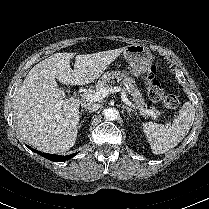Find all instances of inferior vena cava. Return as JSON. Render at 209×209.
I'll list each match as a JSON object with an SVG mask.
<instances>
[{"mask_svg": "<svg viewBox=\"0 0 209 209\" xmlns=\"http://www.w3.org/2000/svg\"><path fill=\"white\" fill-rule=\"evenodd\" d=\"M82 108L86 109V110H89L90 112H93V111H97L100 109L101 105L98 104V103H82L81 104Z\"/></svg>", "mask_w": 209, "mask_h": 209, "instance_id": "inferior-vena-cava-1", "label": "inferior vena cava"}]
</instances>
